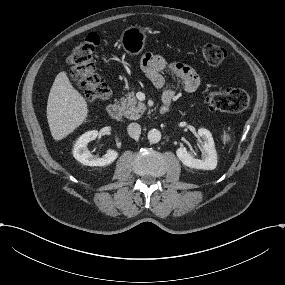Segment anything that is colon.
I'll use <instances>...</instances> for the list:
<instances>
[{
  "instance_id": "5ec220e1",
  "label": "colon",
  "mask_w": 285,
  "mask_h": 285,
  "mask_svg": "<svg viewBox=\"0 0 285 285\" xmlns=\"http://www.w3.org/2000/svg\"><path fill=\"white\" fill-rule=\"evenodd\" d=\"M99 44V37L90 33L68 56L72 75L77 79L80 89L89 101H98L110 96V88L96 71L93 56ZM203 57L211 66L220 65L226 58V50L215 44H207L202 49ZM206 103L213 109L238 113L250 104L249 95L241 89L214 90L205 95Z\"/></svg>"
}]
</instances>
